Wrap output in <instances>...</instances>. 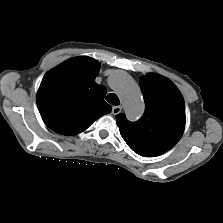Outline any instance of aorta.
<instances>
[{
    "instance_id": "aorta-1",
    "label": "aorta",
    "mask_w": 223,
    "mask_h": 223,
    "mask_svg": "<svg viewBox=\"0 0 223 223\" xmlns=\"http://www.w3.org/2000/svg\"><path fill=\"white\" fill-rule=\"evenodd\" d=\"M110 80L123 100L126 117L131 121L138 120L144 113L145 104L136 82L121 70L114 71Z\"/></svg>"
}]
</instances>
